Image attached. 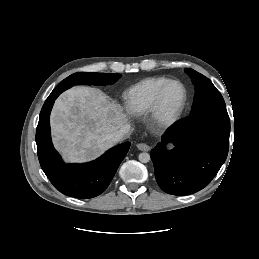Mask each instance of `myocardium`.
<instances>
[{
    "label": "myocardium",
    "instance_id": "f54148a6",
    "mask_svg": "<svg viewBox=\"0 0 259 259\" xmlns=\"http://www.w3.org/2000/svg\"><path fill=\"white\" fill-rule=\"evenodd\" d=\"M173 84L181 87L183 95L179 104L172 110H166L164 106V95L167 88ZM188 101V92L185 85L179 80H168L157 92L154 107L152 109V120L160 128H168L175 124L181 117Z\"/></svg>",
    "mask_w": 259,
    "mask_h": 259
}]
</instances>
